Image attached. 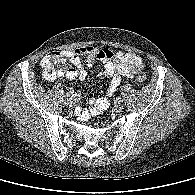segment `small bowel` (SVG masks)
Returning <instances> with one entry per match:
<instances>
[{
  "mask_svg": "<svg viewBox=\"0 0 195 195\" xmlns=\"http://www.w3.org/2000/svg\"><path fill=\"white\" fill-rule=\"evenodd\" d=\"M68 59L73 68H69L62 76L69 80H79L84 82L87 78V71L83 66L84 58L87 66L96 63L103 64L100 74H105L108 78L106 91L100 98H91V106L86 109H77L76 115L80 120L101 115L110 105V99L118 90L123 78H133L144 69L143 59L130 52H112L106 48L82 47L75 50L61 52Z\"/></svg>",
  "mask_w": 195,
  "mask_h": 195,
  "instance_id": "1",
  "label": "small bowel"
}]
</instances>
